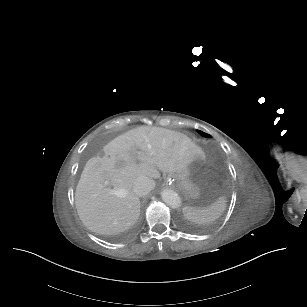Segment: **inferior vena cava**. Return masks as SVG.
Returning <instances> with one entry per match:
<instances>
[{
    "label": "inferior vena cava",
    "mask_w": 307,
    "mask_h": 307,
    "mask_svg": "<svg viewBox=\"0 0 307 307\" xmlns=\"http://www.w3.org/2000/svg\"><path fill=\"white\" fill-rule=\"evenodd\" d=\"M154 187L155 185L150 178L142 176L136 179L133 185V192L137 196L142 197L149 194L150 191L154 189Z\"/></svg>",
    "instance_id": "1"
}]
</instances>
